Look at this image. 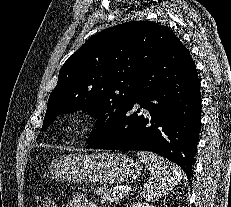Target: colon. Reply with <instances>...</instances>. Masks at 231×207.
<instances>
[{
	"mask_svg": "<svg viewBox=\"0 0 231 207\" xmlns=\"http://www.w3.org/2000/svg\"><path fill=\"white\" fill-rule=\"evenodd\" d=\"M38 207H55L53 198L48 195L41 196L39 198Z\"/></svg>",
	"mask_w": 231,
	"mask_h": 207,
	"instance_id": "1",
	"label": "colon"
}]
</instances>
